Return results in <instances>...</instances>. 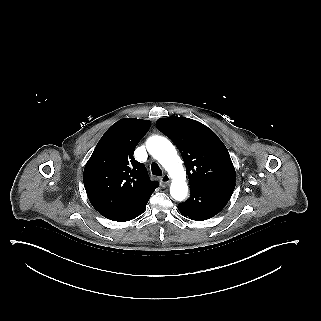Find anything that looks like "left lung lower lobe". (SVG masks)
Here are the masks:
<instances>
[{"mask_svg": "<svg viewBox=\"0 0 321 321\" xmlns=\"http://www.w3.org/2000/svg\"><path fill=\"white\" fill-rule=\"evenodd\" d=\"M235 183H213L190 186V198L178 205L182 215L192 220H207L218 214L227 204Z\"/></svg>", "mask_w": 321, "mask_h": 321, "instance_id": "obj_1", "label": "left lung lower lobe"}]
</instances>
